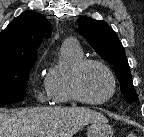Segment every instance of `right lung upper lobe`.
Instances as JSON below:
<instances>
[{
	"mask_svg": "<svg viewBox=\"0 0 144 137\" xmlns=\"http://www.w3.org/2000/svg\"><path fill=\"white\" fill-rule=\"evenodd\" d=\"M51 26L40 13L23 12L0 33V63L35 59L44 36Z\"/></svg>",
	"mask_w": 144,
	"mask_h": 137,
	"instance_id": "cb5924a9",
	"label": "right lung upper lobe"
}]
</instances>
